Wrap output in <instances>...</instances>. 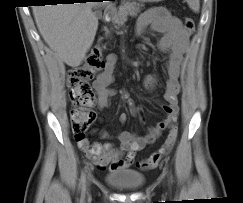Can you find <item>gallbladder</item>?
<instances>
[{
  "label": "gallbladder",
  "mask_w": 243,
  "mask_h": 203,
  "mask_svg": "<svg viewBox=\"0 0 243 203\" xmlns=\"http://www.w3.org/2000/svg\"><path fill=\"white\" fill-rule=\"evenodd\" d=\"M94 14H95V16H96L97 19H100V18L102 17V13H101V11H99V10H96V11L94 12Z\"/></svg>",
  "instance_id": "obj_1"
}]
</instances>
